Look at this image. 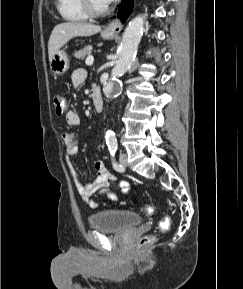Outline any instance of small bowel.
<instances>
[{"instance_id":"obj_1","label":"small bowel","mask_w":243,"mask_h":289,"mask_svg":"<svg viewBox=\"0 0 243 289\" xmlns=\"http://www.w3.org/2000/svg\"><path fill=\"white\" fill-rule=\"evenodd\" d=\"M86 76L87 73L84 69L75 70L71 75L73 87L80 86L85 81ZM65 119L70 126H78L81 123L79 114L74 110L67 111ZM62 141L67 158L71 160L76 157L79 153V144L75 133L72 131L63 132ZM94 168L97 172V177L92 182L84 184L77 180L76 171L71 167V171L76 178L77 190L85 203L91 208L98 207L99 204L95 201V197L101 194H105L113 201H119V198L109 189L110 182L117 180L116 176L106 168L104 162L100 159L94 161ZM118 186L123 194H127L130 190V184L125 180H119Z\"/></svg>"}]
</instances>
